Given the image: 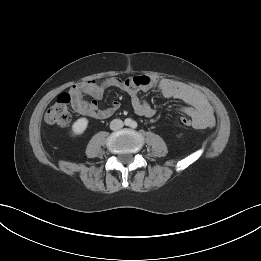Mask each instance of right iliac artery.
<instances>
[{
	"label": "right iliac artery",
	"instance_id": "right-iliac-artery-1",
	"mask_svg": "<svg viewBox=\"0 0 261 261\" xmlns=\"http://www.w3.org/2000/svg\"><path fill=\"white\" fill-rule=\"evenodd\" d=\"M130 122H131V121H130L129 119H126V120H125V124H126V125H129Z\"/></svg>",
	"mask_w": 261,
	"mask_h": 261
}]
</instances>
